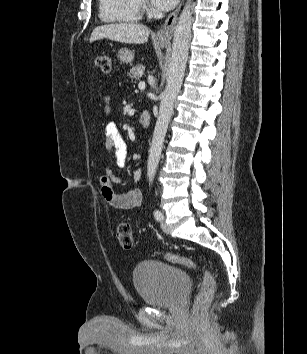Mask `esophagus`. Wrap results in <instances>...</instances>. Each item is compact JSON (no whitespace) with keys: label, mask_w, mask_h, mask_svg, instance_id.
Returning <instances> with one entry per match:
<instances>
[{"label":"esophagus","mask_w":307,"mask_h":354,"mask_svg":"<svg viewBox=\"0 0 307 354\" xmlns=\"http://www.w3.org/2000/svg\"><path fill=\"white\" fill-rule=\"evenodd\" d=\"M181 6H182V1L177 7V9L167 17L161 29L156 33L155 35L156 39L158 40L171 39Z\"/></svg>","instance_id":"esophagus-1"}]
</instances>
